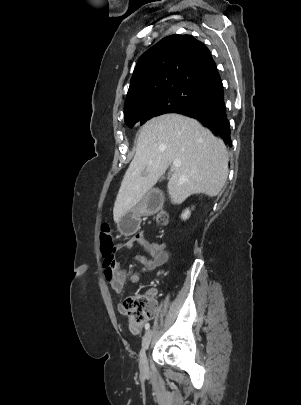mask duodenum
Returning <instances> with one entry per match:
<instances>
[{
  "label": "duodenum",
  "mask_w": 301,
  "mask_h": 405,
  "mask_svg": "<svg viewBox=\"0 0 301 405\" xmlns=\"http://www.w3.org/2000/svg\"><path fill=\"white\" fill-rule=\"evenodd\" d=\"M145 197L140 199V218L151 219L153 213H161L164 202L161 190H146Z\"/></svg>",
  "instance_id": "410a0bca"
}]
</instances>
